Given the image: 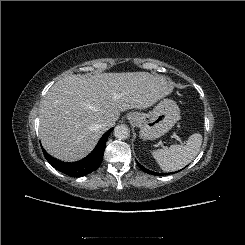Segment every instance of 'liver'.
I'll use <instances>...</instances> for the list:
<instances>
[{
  "mask_svg": "<svg viewBox=\"0 0 245 245\" xmlns=\"http://www.w3.org/2000/svg\"><path fill=\"white\" fill-rule=\"evenodd\" d=\"M172 90L166 77L148 72L65 76L40 103L42 145L61 161L82 159L107 130L104 121H116L129 109H146Z\"/></svg>",
  "mask_w": 245,
  "mask_h": 245,
  "instance_id": "liver-1",
  "label": "liver"
}]
</instances>
